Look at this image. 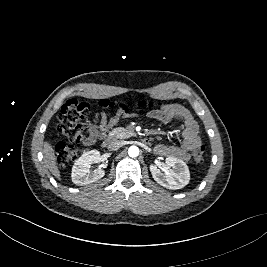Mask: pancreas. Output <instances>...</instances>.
<instances>
[{"instance_id":"obj_1","label":"pancreas","mask_w":267,"mask_h":267,"mask_svg":"<svg viewBox=\"0 0 267 267\" xmlns=\"http://www.w3.org/2000/svg\"><path fill=\"white\" fill-rule=\"evenodd\" d=\"M130 131V129L115 128L109 133L108 138H124L123 133H127Z\"/></svg>"}]
</instances>
